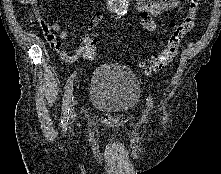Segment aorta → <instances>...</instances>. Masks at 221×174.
<instances>
[{
	"instance_id": "obj_1",
	"label": "aorta",
	"mask_w": 221,
	"mask_h": 174,
	"mask_svg": "<svg viewBox=\"0 0 221 174\" xmlns=\"http://www.w3.org/2000/svg\"><path fill=\"white\" fill-rule=\"evenodd\" d=\"M110 10L116 14H125L128 10L129 0H107Z\"/></svg>"
}]
</instances>
